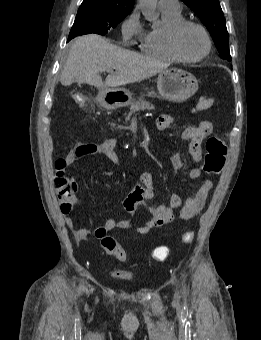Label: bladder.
Here are the masks:
<instances>
[{
    "mask_svg": "<svg viewBox=\"0 0 261 340\" xmlns=\"http://www.w3.org/2000/svg\"><path fill=\"white\" fill-rule=\"evenodd\" d=\"M115 276L121 280H131L132 277L130 275L127 274H120V273H116Z\"/></svg>",
    "mask_w": 261,
    "mask_h": 340,
    "instance_id": "obj_1",
    "label": "bladder"
}]
</instances>
